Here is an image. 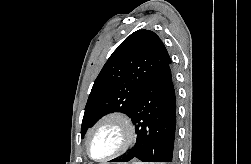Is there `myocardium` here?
I'll list each match as a JSON object with an SVG mask.
<instances>
[{"mask_svg": "<svg viewBox=\"0 0 251 164\" xmlns=\"http://www.w3.org/2000/svg\"><path fill=\"white\" fill-rule=\"evenodd\" d=\"M109 122L117 124L122 130L123 138L121 145L113 153L102 158H95L90 152V140L98 128ZM135 139L136 129L132 119L122 111H112L99 118L89 129L85 140L86 153L88 157L95 162H106L126 153L134 144Z\"/></svg>", "mask_w": 251, "mask_h": 164, "instance_id": "myocardium-1", "label": "myocardium"}]
</instances>
